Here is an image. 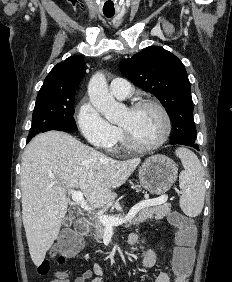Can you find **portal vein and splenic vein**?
<instances>
[{
    "instance_id": "portal-vein-and-splenic-vein-1",
    "label": "portal vein and splenic vein",
    "mask_w": 232,
    "mask_h": 282,
    "mask_svg": "<svg viewBox=\"0 0 232 282\" xmlns=\"http://www.w3.org/2000/svg\"><path fill=\"white\" fill-rule=\"evenodd\" d=\"M69 193L71 194L72 200L76 202L77 204H80L83 210L94 214L93 209L89 207L81 191L70 189ZM167 199H168L167 195H162L155 199H148V200L141 201L130 210V212L127 214L125 218L112 217L108 215H99L97 216V219L102 224H104L105 227L118 226V225H121L133 219L140 210L147 208V207H151V206L161 205L165 203Z\"/></svg>"
}]
</instances>
